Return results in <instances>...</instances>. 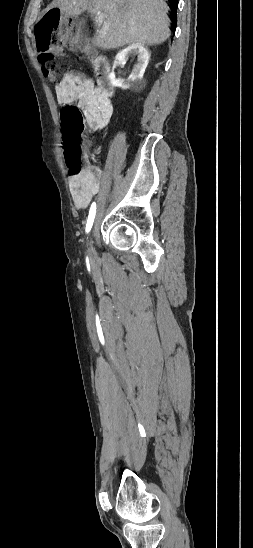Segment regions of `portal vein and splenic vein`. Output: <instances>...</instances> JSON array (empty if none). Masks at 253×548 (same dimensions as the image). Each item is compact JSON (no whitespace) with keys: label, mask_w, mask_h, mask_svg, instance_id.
I'll return each mask as SVG.
<instances>
[{"label":"portal vein and splenic vein","mask_w":253,"mask_h":548,"mask_svg":"<svg viewBox=\"0 0 253 548\" xmlns=\"http://www.w3.org/2000/svg\"><path fill=\"white\" fill-rule=\"evenodd\" d=\"M97 22H102V16L101 15L97 16Z\"/></svg>","instance_id":"1"}]
</instances>
